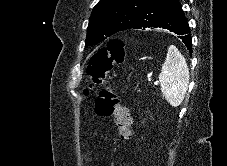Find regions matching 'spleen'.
Here are the masks:
<instances>
[{"instance_id": "3e777b00", "label": "spleen", "mask_w": 227, "mask_h": 166, "mask_svg": "<svg viewBox=\"0 0 227 166\" xmlns=\"http://www.w3.org/2000/svg\"><path fill=\"white\" fill-rule=\"evenodd\" d=\"M161 92L172 107L184 100L189 84V69L179 50L171 45L159 74Z\"/></svg>"}]
</instances>
